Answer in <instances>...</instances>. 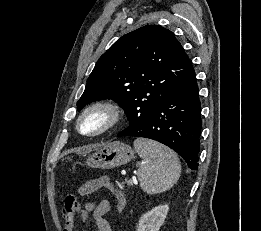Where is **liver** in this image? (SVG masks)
<instances>
[{
    "label": "liver",
    "instance_id": "1",
    "mask_svg": "<svg viewBox=\"0 0 261 231\" xmlns=\"http://www.w3.org/2000/svg\"><path fill=\"white\" fill-rule=\"evenodd\" d=\"M92 150V148L91 147H88V148H86V151H82V150H79L78 151V153H82V152H90Z\"/></svg>",
    "mask_w": 261,
    "mask_h": 231
}]
</instances>
